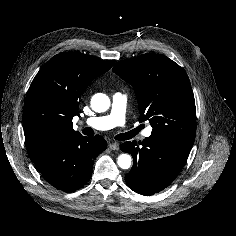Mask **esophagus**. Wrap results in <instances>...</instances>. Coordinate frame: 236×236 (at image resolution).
I'll use <instances>...</instances> for the list:
<instances>
[{"label":"esophagus","mask_w":236,"mask_h":236,"mask_svg":"<svg viewBox=\"0 0 236 236\" xmlns=\"http://www.w3.org/2000/svg\"><path fill=\"white\" fill-rule=\"evenodd\" d=\"M109 148L113 151H117V150H119V144L116 142H112L109 144Z\"/></svg>","instance_id":"1"}]
</instances>
